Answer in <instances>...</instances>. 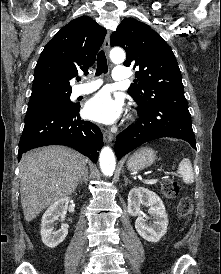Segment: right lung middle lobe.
<instances>
[{
  "label": "right lung middle lobe",
  "mask_w": 221,
  "mask_h": 274,
  "mask_svg": "<svg viewBox=\"0 0 221 274\" xmlns=\"http://www.w3.org/2000/svg\"><path fill=\"white\" fill-rule=\"evenodd\" d=\"M70 94H60L50 97L39 98L35 100H30L28 103L27 112L42 110L46 108L56 107V106H75L76 104L70 101Z\"/></svg>",
  "instance_id": "obj_1"
}]
</instances>
